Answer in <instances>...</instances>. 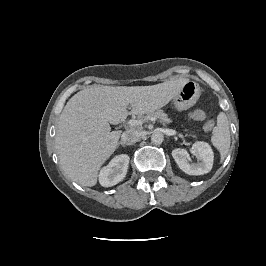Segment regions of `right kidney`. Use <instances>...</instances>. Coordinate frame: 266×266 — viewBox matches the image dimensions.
Listing matches in <instances>:
<instances>
[{
    "label": "right kidney",
    "instance_id": "right-kidney-1",
    "mask_svg": "<svg viewBox=\"0 0 266 266\" xmlns=\"http://www.w3.org/2000/svg\"><path fill=\"white\" fill-rule=\"evenodd\" d=\"M129 156L121 154L114 157L110 163L103 167L99 174V182L104 187H111L122 181L127 173Z\"/></svg>",
    "mask_w": 266,
    "mask_h": 266
}]
</instances>
